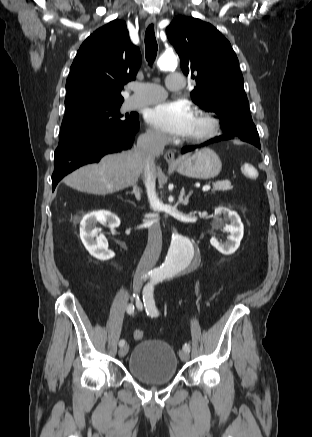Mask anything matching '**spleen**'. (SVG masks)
Instances as JSON below:
<instances>
[{"label": "spleen", "mask_w": 312, "mask_h": 437, "mask_svg": "<svg viewBox=\"0 0 312 437\" xmlns=\"http://www.w3.org/2000/svg\"><path fill=\"white\" fill-rule=\"evenodd\" d=\"M242 170H243L244 172L250 174V175L253 176V177H256V175H257L255 172H252L250 166L247 165V164H245L244 166H242Z\"/></svg>", "instance_id": "obj_1"}]
</instances>
